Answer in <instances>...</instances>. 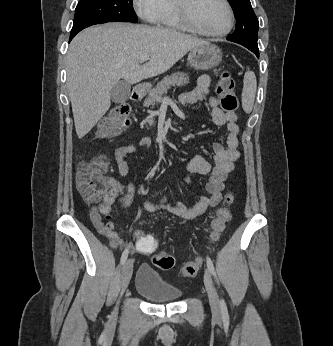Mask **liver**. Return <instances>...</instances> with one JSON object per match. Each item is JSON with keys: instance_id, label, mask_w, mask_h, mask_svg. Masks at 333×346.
I'll list each match as a JSON object with an SVG mask.
<instances>
[{"instance_id": "obj_1", "label": "liver", "mask_w": 333, "mask_h": 346, "mask_svg": "<svg viewBox=\"0 0 333 346\" xmlns=\"http://www.w3.org/2000/svg\"><path fill=\"white\" fill-rule=\"evenodd\" d=\"M208 44L172 29L109 23L77 34L66 55L75 129L83 138L109 110L110 92L124 79L136 84L168 71L188 51ZM149 61L140 65L141 57Z\"/></svg>"}]
</instances>
